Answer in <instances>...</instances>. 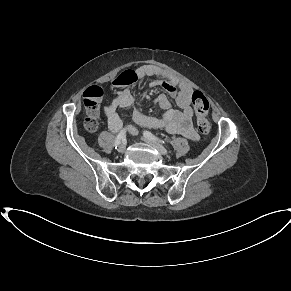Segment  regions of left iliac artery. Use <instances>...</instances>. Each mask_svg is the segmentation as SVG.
Segmentation results:
<instances>
[{
  "label": "left iliac artery",
  "mask_w": 291,
  "mask_h": 291,
  "mask_svg": "<svg viewBox=\"0 0 291 291\" xmlns=\"http://www.w3.org/2000/svg\"><path fill=\"white\" fill-rule=\"evenodd\" d=\"M144 136L147 137L148 139H151L153 141L159 142L161 144H165L166 142L162 139H160L159 137H157L156 135L152 134L149 131H144Z\"/></svg>",
  "instance_id": "44dca946"
}]
</instances>
